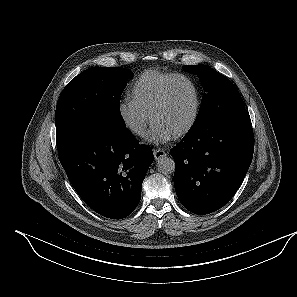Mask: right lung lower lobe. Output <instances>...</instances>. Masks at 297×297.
<instances>
[{"label": "right lung lower lobe", "mask_w": 297, "mask_h": 297, "mask_svg": "<svg viewBox=\"0 0 297 297\" xmlns=\"http://www.w3.org/2000/svg\"><path fill=\"white\" fill-rule=\"evenodd\" d=\"M76 192L95 212L125 218L141 198V186L154 160L125 126L93 125L59 152Z\"/></svg>", "instance_id": "obj_1"}]
</instances>
